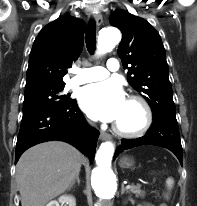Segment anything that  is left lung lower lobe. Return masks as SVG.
<instances>
[{"label":"left lung lower lobe","mask_w":197,"mask_h":206,"mask_svg":"<svg viewBox=\"0 0 197 206\" xmlns=\"http://www.w3.org/2000/svg\"><path fill=\"white\" fill-rule=\"evenodd\" d=\"M142 145H156L167 148L177 156L182 165V146L176 119L166 116L153 117V123L143 137L121 140V145L116 150L114 158L122 150Z\"/></svg>","instance_id":"0a47b994"}]
</instances>
